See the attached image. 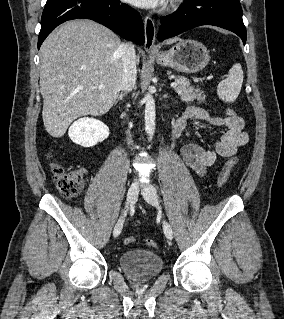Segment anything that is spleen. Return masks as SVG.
Wrapping results in <instances>:
<instances>
[{
	"label": "spleen",
	"instance_id": "3e777b00",
	"mask_svg": "<svg viewBox=\"0 0 284 319\" xmlns=\"http://www.w3.org/2000/svg\"><path fill=\"white\" fill-rule=\"evenodd\" d=\"M243 70L239 63L234 64L227 77L217 86V95L225 102H233L239 95L243 83Z\"/></svg>",
	"mask_w": 284,
	"mask_h": 319
}]
</instances>
